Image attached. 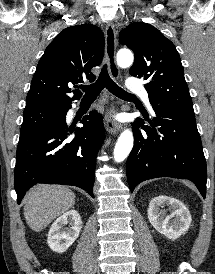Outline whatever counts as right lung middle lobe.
Segmentation results:
<instances>
[{"mask_svg": "<svg viewBox=\"0 0 215 274\" xmlns=\"http://www.w3.org/2000/svg\"><path fill=\"white\" fill-rule=\"evenodd\" d=\"M65 110L66 109L64 108L58 107H43L24 110L19 140L59 120Z\"/></svg>", "mask_w": 215, "mask_h": 274, "instance_id": "right-lung-middle-lobe-1", "label": "right lung middle lobe"}]
</instances>
